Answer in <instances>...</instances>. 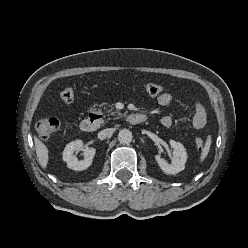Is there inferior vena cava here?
<instances>
[{"label":"inferior vena cava","instance_id":"obj_1","mask_svg":"<svg viewBox=\"0 0 248 248\" xmlns=\"http://www.w3.org/2000/svg\"><path fill=\"white\" fill-rule=\"evenodd\" d=\"M111 131H112V130H111L110 128L104 129V130L100 131V132L98 133V138H99L100 140H103V139L107 138V137L111 134Z\"/></svg>","mask_w":248,"mask_h":248}]
</instances>
